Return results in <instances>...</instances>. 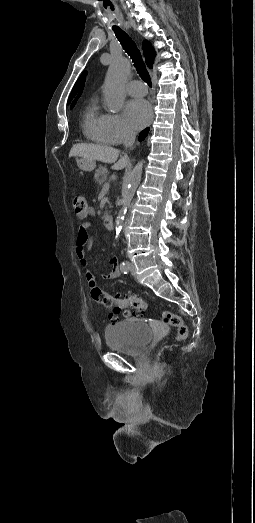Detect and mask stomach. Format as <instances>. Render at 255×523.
<instances>
[{"label": "stomach", "mask_w": 255, "mask_h": 523, "mask_svg": "<svg viewBox=\"0 0 255 523\" xmlns=\"http://www.w3.org/2000/svg\"><path fill=\"white\" fill-rule=\"evenodd\" d=\"M77 166L80 170H84V172H92L95 168V162L94 160H85V158H81V160H77Z\"/></svg>", "instance_id": "stomach-1"}]
</instances>
